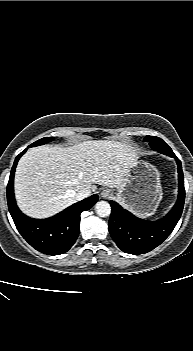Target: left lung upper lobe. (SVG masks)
I'll use <instances>...</instances> for the list:
<instances>
[{"mask_svg": "<svg viewBox=\"0 0 193 351\" xmlns=\"http://www.w3.org/2000/svg\"><path fill=\"white\" fill-rule=\"evenodd\" d=\"M144 141L149 142L150 146L165 155H172L174 154L172 149L167 145V143L165 141H163L162 139H160L159 137L156 136H146L144 138Z\"/></svg>", "mask_w": 193, "mask_h": 351, "instance_id": "left-lung-upper-lobe-1", "label": "left lung upper lobe"}]
</instances>
